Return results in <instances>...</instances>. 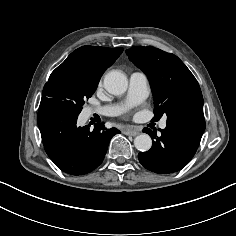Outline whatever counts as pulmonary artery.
Instances as JSON below:
<instances>
[{"label":"pulmonary artery","mask_w":236,"mask_h":236,"mask_svg":"<svg viewBox=\"0 0 236 236\" xmlns=\"http://www.w3.org/2000/svg\"><path fill=\"white\" fill-rule=\"evenodd\" d=\"M148 95V78L145 73L137 71L133 72L129 78V89L127 95V103L125 105H106L102 107L88 108V114H100L103 116H116L123 113L128 106L136 105L142 102ZM167 120L164 118L159 127L164 129Z\"/></svg>","instance_id":"pulmonary-artery-1"}]
</instances>
